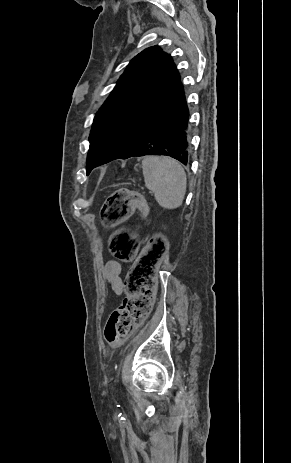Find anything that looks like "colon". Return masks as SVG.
<instances>
[{
    "mask_svg": "<svg viewBox=\"0 0 291 463\" xmlns=\"http://www.w3.org/2000/svg\"><path fill=\"white\" fill-rule=\"evenodd\" d=\"M138 209L148 212L143 196L126 188H119L109 195L101 210L105 224L115 225L127 219ZM111 254L123 262L131 261L138 249L135 235L119 228L110 237ZM167 251V242L160 234L153 235L142 249L125 280L126 297L110 315L104 330L108 344L117 346L131 333L133 327L150 313L155 290V274Z\"/></svg>",
    "mask_w": 291,
    "mask_h": 463,
    "instance_id": "obj_1",
    "label": "colon"
}]
</instances>
